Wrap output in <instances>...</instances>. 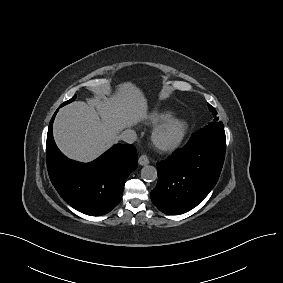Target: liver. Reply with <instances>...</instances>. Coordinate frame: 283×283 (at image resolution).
I'll use <instances>...</instances> for the list:
<instances>
[{
  "instance_id": "obj_1",
  "label": "liver",
  "mask_w": 283,
  "mask_h": 283,
  "mask_svg": "<svg viewBox=\"0 0 283 283\" xmlns=\"http://www.w3.org/2000/svg\"><path fill=\"white\" fill-rule=\"evenodd\" d=\"M148 105L134 84H120L110 98L75 101L58 112L54 139L69 158L90 162L107 150L125 128L147 118Z\"/></svg>"
}]
</instances>
